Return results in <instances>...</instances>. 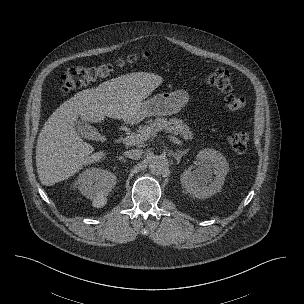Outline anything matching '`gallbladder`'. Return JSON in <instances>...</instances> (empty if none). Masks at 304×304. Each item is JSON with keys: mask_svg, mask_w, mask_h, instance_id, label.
<instances>
[{"mask_svg": "<svg viewBox=\"0 0 304 304\" xmlns=\"http://www.w3.org/2000/svg\"><path fill=\"white\" fill-rule=\"evenodd\" d=\"M76 131L78 134L87 139H91L94 137L95 132L97 131L93 126H91L88 122L78 119L76 122Z\"/></svg>", "mask_w": 304, "mask_h": 304, "instance_id": "bac80fb5", "label": "gallbladder"}]
</instances>
